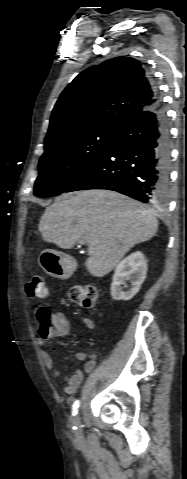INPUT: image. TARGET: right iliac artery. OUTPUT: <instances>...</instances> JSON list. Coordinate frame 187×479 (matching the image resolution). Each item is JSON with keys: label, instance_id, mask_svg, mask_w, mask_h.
<instances>
[{"label": "right iliac artery", "instance_id": "right-iliac-artery-1", "mask_svg": "<svg viewBox=\"0 0 187 479\" xmlns=\"http://www.w3.org/2000/svg\"><path fill=\"white\" fill-rule=\"evenodd\" d=\"M80 406V401L79 400H76L74 403H73V406H72V414L73 415H76L77 414V411H78V408ZM73 429H76V427H73Z\"/></svg>", "mask_w": 187, "mask_h": 479}]
</instances>
